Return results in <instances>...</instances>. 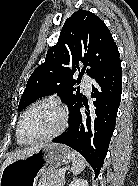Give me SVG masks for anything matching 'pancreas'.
I'll list each match as a JSON object with an SVG mask.
<instances>
[{"mask_svg":"<svg viewBox=\"0 0 138 186\" xmlns=\"http://www.w3.org/2000/svg\"><path fill=\"white\" fill-rule=\"evenodd\" d=\"M60 170L46 172L39 180L38 186H63L65 183L64 177L59 175Z\"/></svg>","mask_w":138,"mask_h":186,"instance_id":"obj_1","label":"pancreas"}]
</instances>
